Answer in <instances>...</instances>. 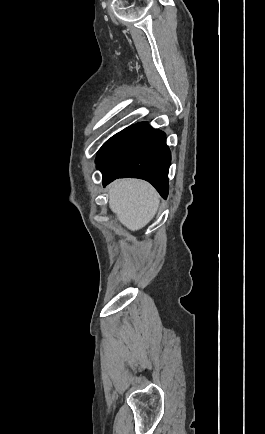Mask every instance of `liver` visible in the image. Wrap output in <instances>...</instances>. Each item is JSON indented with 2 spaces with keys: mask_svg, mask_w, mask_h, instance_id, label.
<instances>
[{
  "mask_svg": "<svg viewBox=\"0 0 265 434\" xmlns=\"http://www.w3.org/2000/svg\"><path fill=\"white\" fill-rule=\"evenodd\" d=\"M109 208L131 232L145 228L160 204L159 194L142 180H116L108 188Z\"/></svg>",
  "mask_w": 265,
  "mask_h": 434,
  "instance_id": "1",
  "label": "liver"
}]
</instances>
